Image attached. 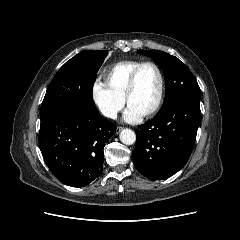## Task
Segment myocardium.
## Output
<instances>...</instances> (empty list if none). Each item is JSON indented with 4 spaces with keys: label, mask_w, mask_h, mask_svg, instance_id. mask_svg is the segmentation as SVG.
<instances>
[{
    "label": "myocardium",
    "mask_w": 240,
    "mask_h": 240,
    "mask_svg": "<svg viewBox=\"0 0 240 240\" xmlns=\"http://www.w3.org/2000/svg\"><path fill=\"white\" fill-rule=\"evenodd\" d=\"M146 66L153 67L156 70L158 77H159V90H158L157 98H156L153 106L148 111H146L144 114H142L144 117H149V116L153 115L155 112H157V110L159 109V107L162 103L163 96H164L165 78H164V74L158 64H156L155 62H152V61H145V62L140 63L133 70V72L131 73V75L129 77V81H128V85H127V89H126V93H125V100H126V103L129 104L130 96L133 94V92L136 88V82H137L139 72L141 71L142 68H144Z\"/></svg>",
    "instance_id": "f54148a6"
}]
</instances>
